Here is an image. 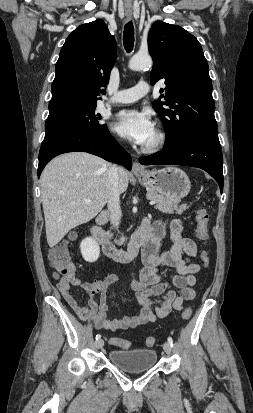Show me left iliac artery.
Here are the masks:
<instances>
[{"instance_id":"1","label":"left iliac artery","mask_w":253,"mask_h":413,"mask_svg":"<svg viewBox=\"0 0 253 413\" xmlns=\"http://www.w3.org/2000/svg\"><path fill=\"white\" fill-rule=\"evenodd\" d=\"M168 342L171 345V347H173V339L171 337H168Z\"/></svg>"}]
</instances>
